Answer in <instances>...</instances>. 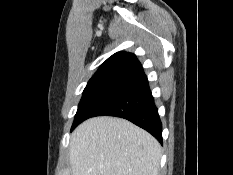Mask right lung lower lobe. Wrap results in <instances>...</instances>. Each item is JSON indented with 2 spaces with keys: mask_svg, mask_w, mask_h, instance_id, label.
I'll use <instances>...</instances> for the list:
<instances>
[{
  "mask_svg": "<svg viewBox=\"0 0 233 175\" xmlns=\"http://www.w3.org/2000/svg\"><path fill=\"white\" fill-rule=\"evenodd\" d=\"M101 115L125 118L162 143V123L145 75L134 80L91 117Z\"/></svg>",
  "mask_w": 233,
  "mask_h": 175,
  "instance_id": "1",
  "label": "right lung lower lobe"
}]
</instances>
